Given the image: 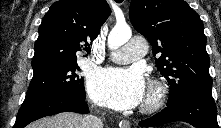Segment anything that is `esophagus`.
<instances>
[{"mask_svg":"<svg viewBox=\"0 0 221 128\" xmlns=\"http://www.w3.org/2000/svg\"><path fill=\"white\" fill-rule=\"evenodd\" d=\"M121 128H130V124L126 121H123L120 123Z\"/></svg>","mask_w":221,"mask_h":128,"instance_id":"obj_1","label":"esophagus"}]
</instances>
